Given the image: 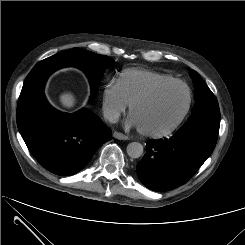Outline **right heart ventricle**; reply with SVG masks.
I'll return each mask as SVG.
<instances>
[{"instance_id":"obj_1","label":"right heart ventricle","mask_w":245,"mask_h":245,"mask_svg":"<svg viewBox=\"0 0 245 245\" xmlns=\"http://www.w3.org/2000/svg\"><path fill=\"white\" fill-rule=\"evenodd\" d=\"M172 79V76L160 72L133 69L124 71L117 83L126 102L130 104L155 85Z\"/></svg>"}]
</instances>
